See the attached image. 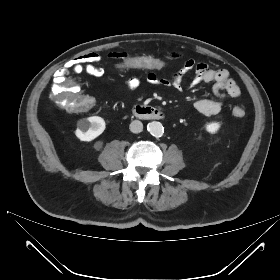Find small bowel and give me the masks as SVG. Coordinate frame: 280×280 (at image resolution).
<instances>
[{"mask_svg": "<svg viewBox=\"0 0 280 280\" xmlns=\"http://www.w3.org/2000/svg\"><path fill=\"white\" fill-rule=\"evenodd\" d=\"M115 58L119 60L123 57H128V54H113ZM149 56V55H148ZM160 58L166 61L168 67V60L182 59L183 55L177 51H168ZM120 70H123L118 66ZM138 68V67H137ZM133 69V68H130ZM195 70V74L192 77L189 86L196 87L202 83L212 84L213 94L215 98H201L198 99L194 107L195 109L204 115H215L222 109V99L225 96L232 98H239L241 91L236 82L231 78L229 72L226 69H214L206 63H195L193 59H185L183 68L178 73L171 76L161 77L156 75L152 70H149L145 76H132L124 81V85L129 89H135L139 87L143 82H147L151 85L173 87L179 89L182 87L184 76L191 70ZM84 71L90 75L98 76L103 72V68L100 66V57L96 53H87L70 60L59 72H81Z\"/></svg>", "mask_w": 280, "mask_h": 280, "instance_id": "small-bowel-1", "label": "small bowel"}]
</instances>
